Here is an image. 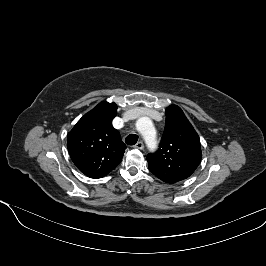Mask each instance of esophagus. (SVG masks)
Returning a JSON list of instances; mask_svg holds the SVG:
<instances>
[{"label": "esophagus", "mask_w": 266, "mask_h": 266, "mask_svg": "<svg viewBox=\"0 0 266 266\" xmlns=\"http://www.w3.org/2000/svg\"><path fill=\"white\" fill-rule=\"evenodd\" d=\"M134 147L137 148V149L142 150L144 148V144H143L142 141H139L138 143L135 144Z\"/></svg>", "instance_id": "esophagus-1"}]
</instances>
